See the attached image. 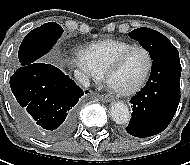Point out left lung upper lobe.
Listing matches in <instances>:
<instances>
[{"label":"left lung upper lobe","mask_w":190,"mask_h":165,"mask_svg":"<svg viewBox=\"0 0 190 165\" xmlns=\"http://www.w3.org/2000/svg\"><path fill=\"white\" fill-rule=\"evenodd\" d=\"M128 35L137 40L149 52L152 60L166 52L176 50L167 37L150 28H138Z\"/></svg>","instance_id":"obj_1"}]
</instances>
